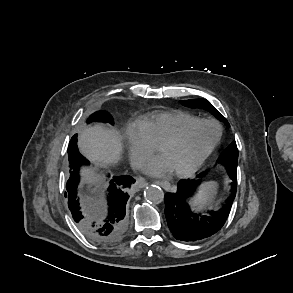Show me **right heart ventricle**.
Instances as JSON below:
<instances>
[{
	"mask_svg": "<svg viewBox=\"0 0 293 293\" xmlns=\"http://www.w3.org/2000/svg\"><path fill=\"white\" fill-rule=\"evenodd\" d=\"M199 119L181 110L155 111L140 124L146 130L154 145H159L175 135L186 124Z\"/></svg>",
	"mask_w": 293,
	"mask_h": 293,
	"instance_id": "1",
	"label": "right heart ventricle"
}]
</instances>
